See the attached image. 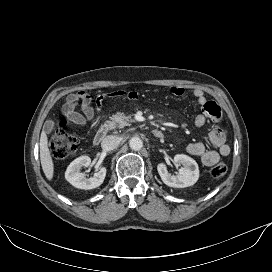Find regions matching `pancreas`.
I'll return each instance as SVG.
<instances>
[{"label":"pancreas","instance_id":"cf45deb5","mask_svg":"<svg viewBox=\"0 0 272 272\" xmlns=\"http://www.w3.org/2000/svg\"><path fill=\"white\" fill-rule=\"evenodd\" d=\"M132 122H134V120L130 116H127L121 112H117L111 117V124L113 128L117 127L121 129L125 126H129Z\"/></svg>","mask_w":272,"mask_h":272}]
</instances>
